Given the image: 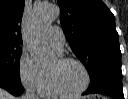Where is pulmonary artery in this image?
Masks as SVG:
<instances>
[{
  "mask_svg": "<svg viewBox=\"0 0 128 99\" xmlns=\"http://www.w3.org/2000/svg\"><path fill=\"white\" fill-rule=\"evenodd\" d=\"M47 39L51 46L58 52L62 51L65 37L62 30L58 26L51 27L47 32Z\"/></svg>",
  "mask_w": 128,
  "mask_h": 99,
  "instance_id": "e3ab8cb5",
  "label": "pulmonary artery"
}]
</instances>
